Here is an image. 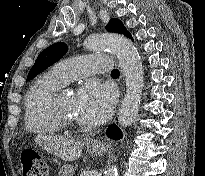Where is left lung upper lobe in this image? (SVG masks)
I'll return each mask as SVG.
<instances>
[{
    "label": "left lung upper lobe",
    "instance_id": "obj_1",
    "mask_svg": "<svg viewBox=\"0 0 205 176\" xmlns=\"http://www.w3.org/2000/svg\"><path fill=\"white\" fill-rule=\"evenodd\" d=\"M106 29L109 32L124 34L126 37H128V35L130 34L123 23L116 18H112L109 21ZM67 50V45L62 42L55 43L43 50L38 55L33 67L30 69L27 80L31 79L41 71L45 70L47 67L60 60L66 54Z\"/></svg>",
    "mask_w": 205,
    "mask_h": 176
}]
</instances>
